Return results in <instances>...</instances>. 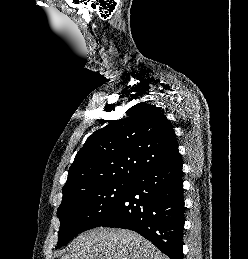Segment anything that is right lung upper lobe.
Segmentation results:
<instances>
[{"instance_id":"obj_1","label":"right lung upper lobe","mask_w":248,"mask_h":259,"mask_svg":"<svg viewBox=\"0 0 248 259\" xmlns=\"http://www.w3.org/2000/svg\"><path fill=\"white\" fill-rule=\"evenodd\" d=\"M180 157L175 132L161 110L141 102L127 117L94 132L77 153L62 188L132 181L146 170Z\"/></svg>"}]
</instances>
